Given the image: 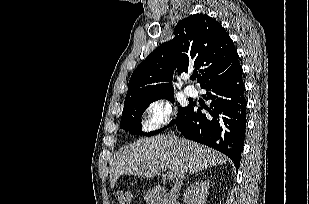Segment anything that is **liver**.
<instances>
[{"instance_id": "1", "label": "liver", "mask_w": 309, "mask_h": 204, "mask_svg": "<svg viewBox=\"0 0 309 204\" xmlns=\"http://www.w3.org/2000/svg\"><path fill=\"white\" fill-rule=\"evenodd\" d=\"M226 162L221 153L204 145L158 135L140 139L123 150L111 167L110 185L113 188L121 175L154 177L160 172L161 165L177 177L182 170L193 174Z\"/></svg>"}]
</instances>
